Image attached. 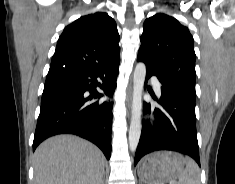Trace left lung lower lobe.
<instances>
[{
  "instance_id": "0a47b994",
  "label": "left lung lower lobe",
  "mask_w": 235,
  "mask_h": 184,
  "mask_svg": "<svg viewBox=\"0 0 235 184\" xmlns=\"http://www.w3.org/2000/svg\"><path fill=\"white\" fill-rule=\"evenodd\" d=\"M138 61L144 62L142 59ZM157 76L161 87V108H155L153 126L144 124L135 154L134 165L145 155L158 150L180 152L192 157L200 166L196 133L195 100L180 88L169 85L157 73L146 67V80ZM144 113H150V104L144 102Z\"/></svg>"
}]
</instances>
